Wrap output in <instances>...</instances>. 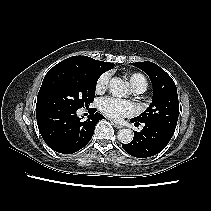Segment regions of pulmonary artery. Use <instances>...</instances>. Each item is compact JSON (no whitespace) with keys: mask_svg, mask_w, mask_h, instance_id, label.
Returning <instances> with one entry per match:
<instances>
[{"mask_svg":"<svg viewBox=\"0 0 211 211\" xmlns=\"http://www.w3.org/2000/svg\"><path fill=\"white\" fill-rule=\"evenodd\" d=\"M134 91H135L136 93H141V92H143L142 89H135Z\"/></svg>","mask_w":211,"mask_h":211,"instance_id":"e3ab8cb5","label":"pulmonary artery"}]
</instances>
